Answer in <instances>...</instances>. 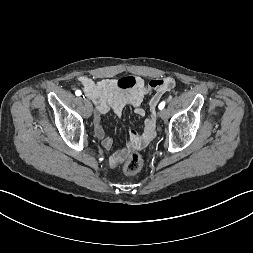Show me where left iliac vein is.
<instances>
[{
	"mask_svg": "<svg viewBox=\"0 0 253 253\" xmlns=\"http://www.w3.org/2000/svg\"><path fill=\"white\" fill-rule=\"evenodd\" d=\"M167 110H160L159 111V116L162 118V119H165L167 117Z\"/></svg>",
	"mask_w": 253,
	"mask_h": 253,
	"instance_id": "obj_1",
	"label": "left iliac vein"
}]
</instances>
